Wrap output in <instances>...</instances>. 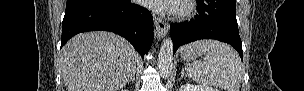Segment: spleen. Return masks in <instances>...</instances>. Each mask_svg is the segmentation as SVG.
Instances as JSON below:
<instances>
[{
	"label": "spleen",
	"instance_id": "3e777b00",
	"mask_svg": "<svg viewBox=\"0 0 304 91\" xmlns=\"http://www.w3.org/2000/svg\"><path fill=\"white\" fill-rule=\"evenodd\" d=\"M193 44L205 58L186 64L188 76L202 85L240 91L243 69L237 52L217 40H201Z\"/></svg>",
	"mask_w": 304,
	"mask_h": 91
}]
</instances>
